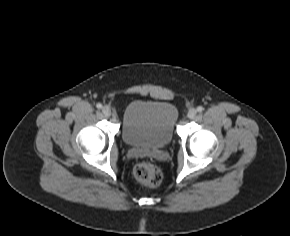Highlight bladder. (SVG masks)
<instances>
[{
	"mask_svg": "<svg viewBox=\"0 0 290 236\" xmlns=\"http://www.w3.org/2000/svg\"><path fill=\"white\" fill-rule=\"evenodd\" d=\"M177 111L167 102L134 101L124 111L122 137L131 147L161 149L173 139Z\"/></svg>",
	"mask_w": 290,
	"mask_h": 236,
	"instance_id": "31cf9c89",
	"label": "bladder"
}]
</instances>
